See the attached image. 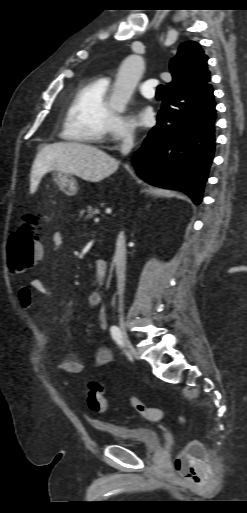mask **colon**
Listing matches in <instances>:
<instances>
[{
	"instance_id": "1",
	"label": "colon",
	"mask_w": 247,
	"mask_h": 513,
	"mask_svg": "<svg viewBox=\"0 0 247 513\" xmlns=\"http://www.w3.org/2000/svg\"><path fill=\"white\" fill-rule=\"evenodd\" d=\"M41 233L39 221L27 216L22 225L12 233L7 247L9 271L15 276H23L28 273L34 262L41 255L39 235ZM86 401L90 409L97 413L106 411L107 405L102 384L92 381L86 394ZM127 401L131 408L149 421H159L163 417V411L154 406H149L139 398L129 395ZM182 422L185 417H180ZM204 458V449L200 442L193 440L186 444L177 455L174 469L177 475L191 478L201 470Z\"/></svg>"
}]
</instances>
